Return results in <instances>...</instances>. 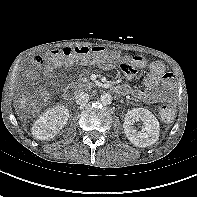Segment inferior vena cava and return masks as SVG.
<instances>
[{
	"mask_svg": "<svg viewBox=\"0 0 197 197\" xmlns=\"http://www.w3.org/2000/svg\"><path fill=\"white\" fill-rule=\"evenodd\" d=\"M75 99H76V103L78 105H84L88 102L89 100V95L88 93L86 92H78L76 95H75Z\"/></svg>",
	"mask_w": 197,
	"mask_h": 197,
	"instance_id": "602c4592",
	"label": "inferior vena cava"
}]
</instances>
